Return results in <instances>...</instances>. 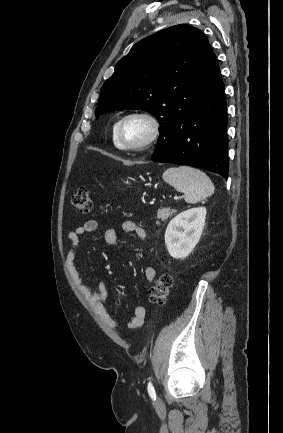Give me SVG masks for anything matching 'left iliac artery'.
I'll use <instances>...</instances> for the list:
<instances>
[{
	"mask_svg": "<svg viewBox=\"0 0 283 433\" xmlns=\"http://www.w3.org/2000/svg\"><path fill=\"white\" fill-rule=\"evenodd\" d=\"M147 389H148V393H149L150 397H151L152 399L156 400L155 389H154V387H153L151 381L148 383V387H147Z\"/></svg>",
	"mask_w": 283,
	"mask_h": 433,
	"instance_id": "left-iliac-artery-1",
	"label": "left iliac artery"
}]
</instances>
